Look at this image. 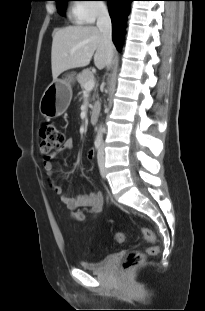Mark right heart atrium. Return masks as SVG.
Instances as JSON below:
<instances>
[{"label": "right heart atrium", "instance_id": "right-heart-atrium-1", "mask_svg": "<svg viewBox=\"0 0 205 311\" xmlns=\"http://www.w3.org/2000/svg\"><path fill=\"white\" fill-rule=\"evenodd\" d=\"M103 1H81L76 6V11L82 22L93 23L97 18L108 13L107 7L101 3Z\"/></svg>", "mask_w": 205, "mask_h": 311}]
</instances>
